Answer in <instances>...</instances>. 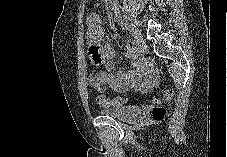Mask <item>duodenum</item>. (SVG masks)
<instances>
[{
  "mask_svg": "<svg viewBox=\"0 0 227 157\" xmlns=\"http://www.w3.org/2000/svg\"><path fill=\"white\" fill-rule=\"evenodd\" d=\"M110 8H111L112 13L115 16V18H119L120 11H119L118 5L115 2V0H110Z\"/></svg>",
  "mask_w": 227,
  "mask_h": 157,
  "instance_id": "410a0bca",
  "label": "duodenum"
}]
</instances>
